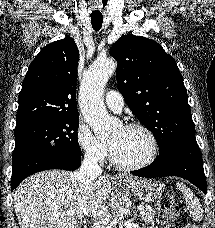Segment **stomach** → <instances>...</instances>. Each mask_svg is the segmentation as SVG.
Segmentation results:
<instances>
[{
    "label": "stomach",
    "instance_id": "1",
    "mask_svg": "<svg viewBox=\"0 0 215 228\" xmlns=\"http://www.w3.org/2000/svg\"><path fill=\"white\" fill-rule=\"evenodd\" d=\"M116 180H119L118 186H128L132 194L143 202H155L158 196L164 192L162 184L157 180H136L127 174H123L121 178L117 176Z\"/></svg>",
    "mask_w": 215,
    "mask_h": 228
}]
</instances>
